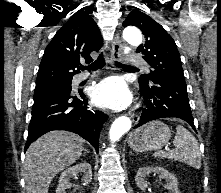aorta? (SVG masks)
Wrapping results in <instances>:
<instances>
[{
	"instance_id": "aorta-1",
	"label": "aorta",
	"mask_w": 221,
	"mask_h": 193,
	"mask_svg": "<svg viewBox=\"0 0 221 193\" xmlns=\"http://www.w3.org/2000/svg\"><path fill=\"white\" fill-rule=\"evenodd\" d=\"M125 41L133 46H138L142 42L141 32L135 27H128L123 32ZM130 48L125 47L124 52L129 53ZM132 121L129 117L121 116L117 118L111 125L109 137L112 142L118 141L122 135L128 132L131 128Z\"/></svg>"
}]
</instances>
